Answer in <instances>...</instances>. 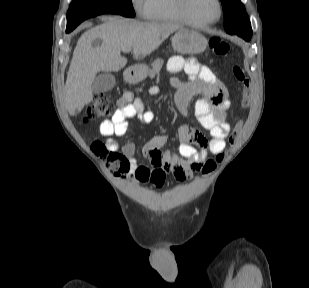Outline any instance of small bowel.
Listing matches in <instances>:
<instances>
[{
  "instance_id": "c3829d8e",
  "label": "small bowel",
  "mask_w": 309,
  "mask_h": 288,
  "mask_svg": "<svg viewBox=\"0 0 309 288\" xmlns=\"http://www.w3.org/2000/svg\"><path fill=\"white\" fill-rule=\"evenodd\" d=\"M182 69L189 75L190 81L181 83L175 78L172 79L173 85L177 88V112L181 117L185 116L190 100L197 95L198 99L194 105L195 116L200 125L209 130L210 137L205 139L191 126L181 124L178 127V155H174L162 150L167 142L165 135L153 136L143 148L144 156L152 164L151 168L140 166L135 156L134 145L125 144L121 148L127 162L124 170L137 182L151 183L155 188L164 185L168 173L182 182L201 171L209 153L218 154L224 151L226 137L231 129L227 117L230 99L213 72L194 58L184 60L179 56L171 57L168 62L169 72L177 73ZM150 91L157 93L158 89L152 87ZM131 118H136L142 123H151L155 114L144 110L142 102L134 98L132 93H126L118 99V108L113 116L103 121L99 127V132L105 138L110 151L118 150L115 138L128 132V119ZM194 144L199 145L200 149H196Z\"/></svg>"
}]
</instances>
